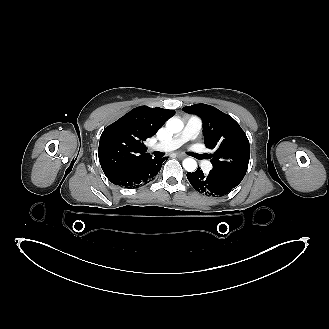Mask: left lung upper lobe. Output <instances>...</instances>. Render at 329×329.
Segmentation results:
<instances>
[{"label": "left lung upper lobe", "mask_w": 329, "mask_h": 329, "mask_svg": "<svg viewBox=\"0 0 329 329\" xmlns=\"http://www.w3.org/2000/svg\"><path fill=\"white\" fill-rule=\"evenodd\" d=\"M183 110L203 121L204 143L210 149L212 172L240 183L248 168L250 146L246 134L229 115L207 104L186 106Z\"/></svg>", "instance_id": "5c2ea615"}]
</instances>
